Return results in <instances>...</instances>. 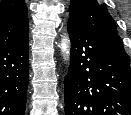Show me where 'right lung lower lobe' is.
Here are the masks:
<instances>
[{
  "mask_svg": "<svg viewBox=\"0 0 131 115\" xmlns=\"http://www.w3.org/2000/svg\"><path fill=\"white\" fill-rule=\"evenodd\" d=\"M28 36L0 49V115H24L28 73Z\"/></svg>",
  "mask_w": 131,
  "mask_h": 115,
  "instance_id": "1",
  "label": "right lung lower lobe"
}]
</instances>
